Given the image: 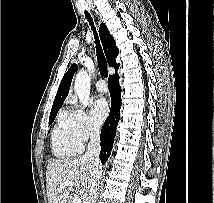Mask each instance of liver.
I'll return each instance as SVG.
<instances>
[{
	"label": "liver",
	"instance_id": "obj_1",
	"mask_svg": "<svg viewBox=\"0 0 214 203\" xmlns=\"http://www.w3.org/2000/svg\"><path fill=\"white\" fill-rule=\"evenodd\" d=\"M91 166L83 157L50 162L46 171V190L49 203H66L70 190H59L61 183L74 181L77 195L85 197L91 183Z\"/></svg>",
	"mask_w": 214,
	"mask_h": 203
}]
</instances>
